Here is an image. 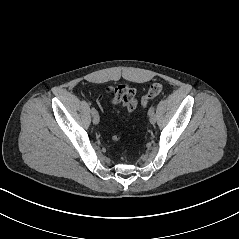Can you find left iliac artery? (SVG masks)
<instances>
[{"instance_id":"1","label":"left iliac artery","mask_w":239,"mask_h":239,"mask_svg":"<svg viewBox=\"0 0 239 239\" xmlns=\"http://www.w3.org/2000/svg\"><path fill=\"white\" fill-rule=\"evenodd\" d=\"M155 112L154 106H151L150 109L148 110V115H151Z\"/></svg>"}]
</instances>
